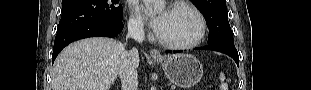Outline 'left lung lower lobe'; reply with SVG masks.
Returning a JSON list of instances; mask_svg holds the SVG:
<instances>
[{"instance_id": "0a47b994", "label": "left lung lower lobe", "mask_w": 311, "mask_h": 90, "mask_svg": "<svg viewBox=\"0 0 311 90\" xmlns=\"http://www.w3.org/2000/svg\"><path fill=\"white\" fill-rule=\"evenodd\" d=\"M195 49L213 50V51L222 52V53L227 54L228 56L232 57L235 60L236 64L239 65V56H238V52L236 49L228 48V47H224V46H212V45L199 47V48H195ZM166 52L171 53L172 51H166ZM178 52H181V51H173V53H178Z\"/></svg>"}]
</instances>
